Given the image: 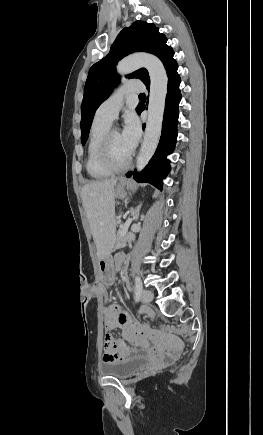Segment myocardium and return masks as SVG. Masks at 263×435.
Segmentation results:
<instances>
[{
  "label": "myocardium",
  "instance_id": "f54148a6",
  "mask_svg": "<svg viewBox=\"0 0 263 435\" xmlns=\"http://www.w3.org/2000/svg\"><path fill=\"white\" fill-rule=\"evenodd\" d=\"M115 129H109L103 136L99 148V161L101 165L111 172H121L127 169L132 162V153L128 156L125 162L117 164L111 154V135Z\"/></svg>",
  "mask_w": 263,
  "mask_h": 435
}]
</instances>
